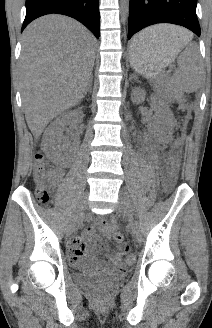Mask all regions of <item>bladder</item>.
<instances>
[{"instance_id": "31cf9c89", "label": "bladder", "mask_w": 212, "mask_h": 328, "mask_svg": "<svg viewBox=\"0 0 212 328\" xmlns=\"http://www.w3.org/2000/svg\"><path fill=\"white\" fill-rule=\"evenodd\" d=\"M73 278L75 282L81 285H91L106 281H119L123 278V275L120 273H97L92 269L89 262L83 261L77 264Z\"/></svg>"}]
</instances>
